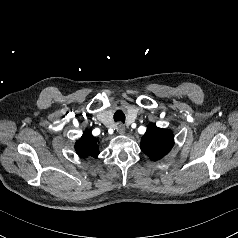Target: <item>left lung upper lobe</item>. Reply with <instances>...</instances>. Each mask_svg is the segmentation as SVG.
<instances>
[{"label":"left lung upper lobe","instance_id":"left-lung-upper-lobe-1","mask_svg":"<svg viewBox=\"0 0 238 238\" xmlns=\"http://www.w3.org/2000/svg\"><path fill=\"white\" fill-rule=\"evenodd\" d=\"M174 145L173 133L151 123L141 139V150L151 159L159 160L169 153Z\"/></svg>","mask_w":238,"mask_h":238}]
</instances>
